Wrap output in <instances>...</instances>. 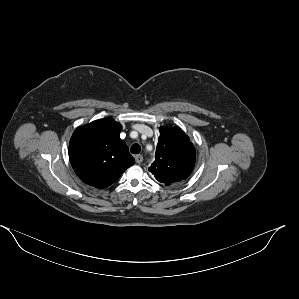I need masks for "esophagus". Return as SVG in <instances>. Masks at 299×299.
Instances as JSON below:
<instances>
[{
	"label": "esophagus",
	"mask_w": 299,
	"mask_h": 299,
	"mask_svg": "<svg viewBox=\"0 0 299 299\" xmlns=\"http://www.w3.org/2000/svg\"><path fill=\"white\" fill-rule=\"evenodd\" d=\"M136 163L140 164L143 161V156L138 154L135 156Z\"/></svg>",
	"instance_id": "34e87169"
}]
</instances>
